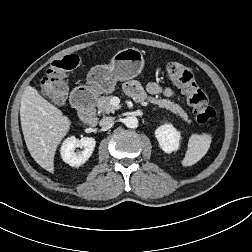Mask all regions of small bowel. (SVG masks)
<instances>
[{
    "instance_id": "c3829d8e",
    "label": "small bowel",
    "mask_w": 252,
    "mask_h": 252,
    "mask_svg": "<svg viewBox=\"0 0 252 252\" xmlns=\"http://www.w3.org/2000/svg\"><path fill=\"white\" fill-rule=\"evenodd\" d=\"M125 90L128 94L138 100H142L145 97V92L150 94H164L166 96H172L173 90L170 88H163L158 83L150 82L146 88L143 87L137 81H129L125 84Z\"/></svg>"
}]
</instances>
